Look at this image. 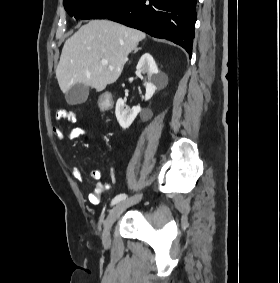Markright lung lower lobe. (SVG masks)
Listing matches in <instances>:
<instances>
[{
    "mask_svg": "<svg viewBox=\"0 0 280 283\" xmlns=\"http://www.w3.org/2000/svg\"><path fill=\"white\" fill-rule=\"evenodd\" d=\"M197 0H132L108 19L170 40L191 56Z\"/></svg>",
    "mask_w": 280,
    "mask_h": 283,
    "instance_id": "1",
    "label": "right lung lower lobe"
}]
</instances>
